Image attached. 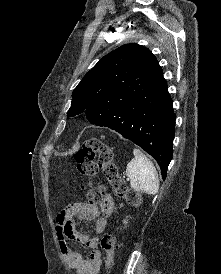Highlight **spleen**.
<instances>
[{
  "instance_id": "1",
  "label": "spleen",
  "mask_w": 221,
  "mask_h": 274,
  "mask_svg": "<svg viewBox=\"0 0 221 274\" xmlns=\"http://www.w3.org/2000/svg\"><path fill=\"white\" fill-rule=\"evenodd\" d=\"M132 159L126 168V174L130 178V185L136 191L148 194H157L159 179L153 163L139 150H133Z\"/></svg>"
}]
</instances>
